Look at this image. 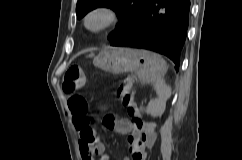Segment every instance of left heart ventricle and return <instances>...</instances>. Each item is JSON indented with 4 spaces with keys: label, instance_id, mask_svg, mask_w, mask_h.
Masks as SVG:
<instances>
[{
    "label": "left heart ventricle",
    "instance_id": "b2bd125f",
    "mask_svg": "<svg viewBox=\"0 0 242 160\" xmlns=\"http://www.w3.org/2000/svg\"><path fill=\"white\" fill-rule=\"evenodd\" d=\"M101 22H102V17L96 16L92 19L91 24H92V26L96 27V26L100 25Z\"/></svg>",
    "mask_w": 242,
    "mask_h": 160
}]
</instances>
